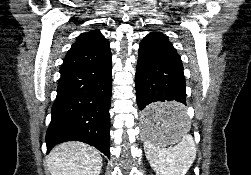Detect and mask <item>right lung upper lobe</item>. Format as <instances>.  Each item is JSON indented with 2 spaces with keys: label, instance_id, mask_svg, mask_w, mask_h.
<instances>
[{
  "label": "right lung upper lobe",
  "instance_id": "right-lung-upper-lobe-1",
  "mask_svg": "<svg viewBox=\"0 0 251 175\" xmlns=\"http://www.w3.org/2000/svg\"><path fill=\"white\" fill-rule=\"evenodd\" d=\"M111 55L109 42L99 30L80 34L65 56L60 70L100 63Z\"/></svg>",
  "mask_w": 251,
  "mask_h": 175
}]
</instances>
